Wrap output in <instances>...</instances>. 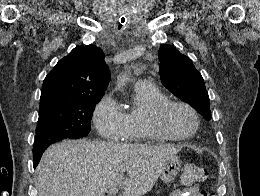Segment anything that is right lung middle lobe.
Masks as SVG:
<instances>
[{
	"instance_id": "dd1d6c3e",
	"label": "right lung middle lobe",
	"mask_w": 260,
	"mask_h": 196,
	"mask_svg": "<svg viewBox=\"0 0 260 196\" xmlns=\"http://www.w3.org/2000/svg\"><path fill=\"white\" fill-rule=\"evenodd\" d=\"M102 96H86L40 106L33 150L63 139H78L90 132L95 105Z\"/></svg>"
}]
</instances>
